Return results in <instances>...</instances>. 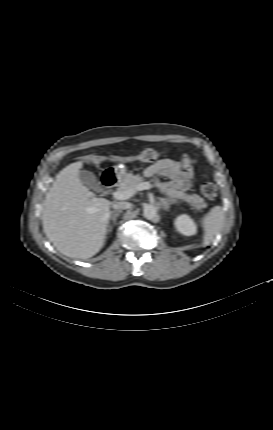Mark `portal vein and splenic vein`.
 Returning a JSON list of instances; mask_svg holds the SVG:
<instances>
[{"instance_id":"portal-vein-and-splenic-vein-1","label":"portal vein and splenic vein","mask_w":273,"mask_h":430,"mask_svg":"<svg viewBox=\"0 0 273 430\" xmlns=\"http://www.w3.org/2000/svg\"><path fill=\"white\" fill-rule=\"evenodd\" d=\"M151 188V184L149 182H143L137 185L135 188H130L127 190H118L113 193L115 199L118 200H126L131 198L136 194L137 191L148 190Z\"/></svg>"}]
</instances>
